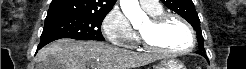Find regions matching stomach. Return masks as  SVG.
I'll return each instance as SVG.
<instances>
[{
  "mask_svg": "<svg viewBox=\"0 0 246 69\" xmlns=\"http://www.w3.org/2000/svg\"><path fill=\"white\" fill-rule=\"evenodd\" d=\"M156 69H185L184 65L175 59H164Z\"/></svg>",
  "mask_w": 246,
  "mask_h": 69,
  "instance_id": "1",
  "label": "stomach"
}]
</instances>
